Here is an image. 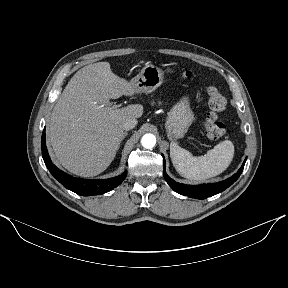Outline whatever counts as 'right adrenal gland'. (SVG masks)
Instances as JSON below:
<instances>
[{
  "mask_svg": "<svg viewBox=\"0 0 288 288\" xmlns=\"http://www.w3.org/2000/svg\"><path fill=\"white\" fill-rule=\"evenodd\" d=\"M127 134H128L127 132H124V133H123L122 138H121V141H120V144H121V142L124 140V138L127 136ZM120 144H119V147H120ZM119 147H118V148H119Z\"/></svg>",
  "mask_w": 288,
  "mask_h": 288,
  "instance_id": "right-adrenal-gland-1",
  "label": "right adrenal gland"
}]
</instances>
